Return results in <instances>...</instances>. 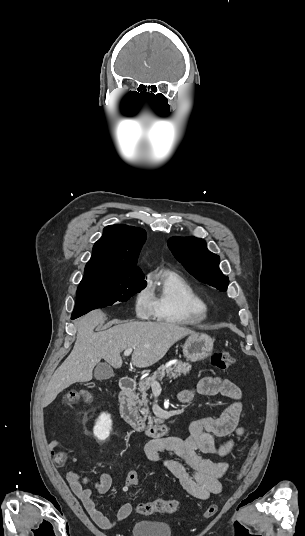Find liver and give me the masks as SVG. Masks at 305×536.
I'll return each instance as SVG.
<instances>
[{
	"mask_svg": "<svg viewBox=\"0 0 305 536\" xmlns=\"http://www.w3.org/2000/svg\"><path fill=\"white\" fill-rule=\"evenodd\" d=\"M106 318L101 310H93L82 316L77 322L75 346L53 374L42 400L43 408L49 406L56 396L76 382H90L92 372L100 362L105 360L112 368H121L120 356L123 350L134 348L131 362L136 368H148L159 362L169 348L188 334H195L188 328L163 322H129L123 324L112 320L113 326L105 332H94L97 326L104 324Z\"/></svg>",
	"mask_w": 305,
	"mask_h": 536,
	"instance_id": "obj_1",
	"label": "liver"
}]
</instances>
